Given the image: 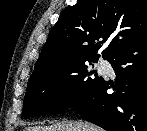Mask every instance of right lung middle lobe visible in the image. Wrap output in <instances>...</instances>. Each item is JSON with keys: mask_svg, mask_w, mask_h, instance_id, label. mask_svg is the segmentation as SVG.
<instances>
[{"mask_svg": "<svg viewBox=\"0 0 147 131\" xmlns=\"http://www.w3.org/2000/svg\"><path fill=\"white\" fill-rule=\"evenodd\" d=\"M88 59L51 69L30 77L24 99L22 115L58 112L81 101L102 78L97 70L89 72ZM95 74L94 78L89 75Z\"/></svg>", "mask_w": 147, "mask_h": 131, "instance_id": "right-lung-middle-lobe-1", "label": "right lung middle lobe"}]
</instances>
